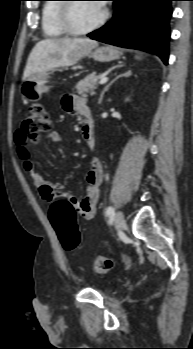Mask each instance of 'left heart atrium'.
Listing matches in <instances>:
<instances>
[{
    "instance_id": "left-heart-atrium-1",
    "label": "left heart atrium",
    "mask_w": 193,
    "mask_h": 349,
    "mask_svg": "<svg viewBox=\"0 0 193 349\" xmlns=\"http://www.w3.org/2000/svg\"><path fill=\"white\" fill-rule=\"evenodd\" d=\"M99 6L103 7V4H99Z\"/></svg>"
}]
</instances>
